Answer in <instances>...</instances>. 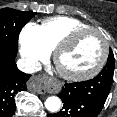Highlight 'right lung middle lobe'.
<instances>
[{
	"instance_id": "1",
	"label": "right lung middle lobe",
	"mask_w": 117,
	"mask_h": 117,
	"mask_svg": "<svg viewBox=\"0 0 117 117\" xmlns=\"http://www.w3.org/2000/svg\"><path fill=\"white\" fill-rule=\"evenodd\" d=\"M35 15V12H23L12 8L0 9V50L16 57L19 33Z\"/></svg>"
}]
</instances>
